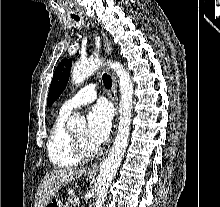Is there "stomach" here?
I'll return each mask as SVG.
<instances>
[{"mask_svg": "<svg viewBox=\"0 0 220 207\" xmlns=\"http://www.w3.org/2000/svg\"><path fill=\"white\" fill-rule=\"evenodd\" d=\"M45 207H62V202L59 198L53 197L50 201L45 205Z\"/></svg>", "mask_w": 220, "mask_h": 207, "instance_id": "1", "label": "stomach"}]
</instances>
